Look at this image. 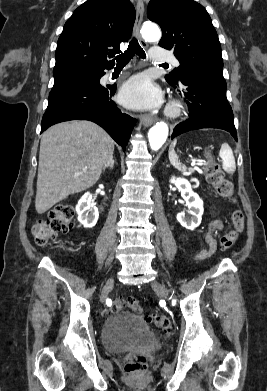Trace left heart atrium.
Wrapping results in <instances>:
<instances>
[{
	"mask_svg": "<svg viewBox=\"0 0 267 391\" xmlns=\"http://www.w3.org/2000/svg\"><path fill=\"white\" fill-rule=\"evenodd\" d=\"M121 102L130 108L150 109L160 104L161 92L145 74L130 78L120 91Z\"/></svg>",
	"mask_w": 267,
	"mask_h": 391,
	"instance_id": "39dd6f15",
	"label": "left heart atrium"
}]
</instances>
